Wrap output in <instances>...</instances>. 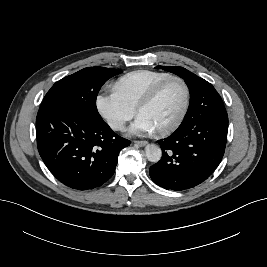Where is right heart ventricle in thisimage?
Masks as SVG:
<instances>
[{
  "instance_id": "obj_1",
  "label": "right heart ventricle",
  "mask_w": 267,
  "mask_h": 267,
  "mask_svg": "<svg viewBox=\"0 0 267 267\" xmlns=\"http://www.w3.org/2000/svg\"><path fill=\"white\" fill-rule=\"evenodd\" d=\"M169 76V73L152 70L132 71L121 76L114 83L113 90L129 105L136 108L156 83Z\"/></svg>"
}]
</instances>
